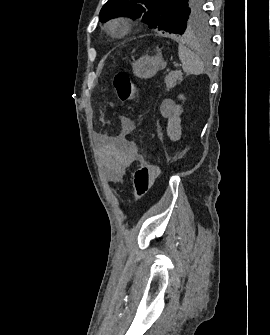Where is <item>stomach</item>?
I'll return each instance as SVG.
<instances>
[{
  "mask_svg": "<svg viewBox=\"0 0 270 335\" xmlns=\"http://www.w3.org/2000/svg\"><path fill=\"white\" fill-rule=\"evenodd\" d=\"M164 66H166V62H164L162 54H157V56L138 58L136 62H133L132 70L137 78H153Z\"/></svg>",
  "mask_w": 270,
  "mask_h": 335,
  "instance_id": "1",
  "label": "stomach"
}]
</instances>
